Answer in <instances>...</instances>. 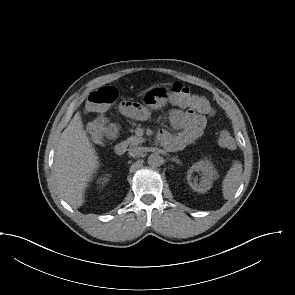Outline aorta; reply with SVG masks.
I'll list each match as a JSON object with an SVG mask.
<instances>
[{
  "mask_svg": "<svg viewBox=\"0 0 295 295\" xmlns=\"http://www.w3.org/2000/svg\"><path fill=\"white\" fill-rule=\"evenodd\" d=\"M147 162L151 167H159L163 163V158L159 154L153 153L148 156Z\"/></svg>",
  "mask_w": 295,
  "mask_h": 295,
  "instance_id": "aorta-1",
  "label": "aorta"
}]
</instances>
